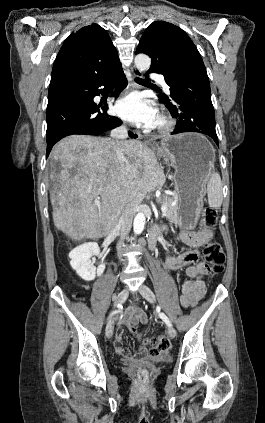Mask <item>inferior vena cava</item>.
<instances>
[{"label":"inferior vena cava","instance_id":"602c4592","mask_svg":"<svg viewBox=\"0 0 265 423\" xmlns=\"http://www.w3.org/2000/svg\"><path fill=\"white\" fill-rule=\"evenodd\" d=\"M111 141L115 144L117 148V156L119 159L124 158V148L126 144V139L128 138V130L125 126H119L113 129L110 133ZM135 203L132 201H127L124 205V208L121 212L119 223H120V240L117 244V250L120 252L122 242L130 231L132 225V219L134 215Z\"/></svg>","mask_w":265,"mask_h":423}]
</instances>
